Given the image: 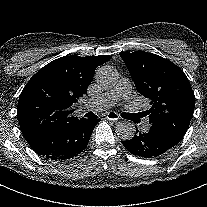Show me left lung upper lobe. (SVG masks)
Here are the masks:
<instances>
[{"mask_svg":"<svg viewBox=\"0 0 207 207\" xmlns=\"http://www.w3.org/2000/svg\"><path fill=\"white\" fill-rule=\"evenodd\" d=\"M138 92L150 100L151 128L179 142L195 107V95L185 73L169 60L148 52H121Z\"/></svg>","mask_w":207,"mask_h":207,"instance_id":"1","label":"left lung upper lobe"}]
</instances>
